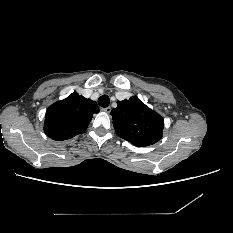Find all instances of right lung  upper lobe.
Segmentation results:
<instances>
[{
    "mask_svg": "<svg viewBox=\"0 0 233 233\" xmlns=\"http://www.w3.org/2000/svg\"><path fill=\"white\" fill-rule=\"evenodd\" d=\"M98 112L96 101L73 92L47 109L44 131L49 138L56 141L70 139L84 133L93 114Z\"/></svg>",
    "mask_w": 233,
    "mask_h": 233,
    "instance_id": "obj_1",
    "label": "right lung upper lobe"
}]
</instances>
